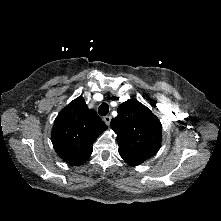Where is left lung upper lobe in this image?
I'll return each mask as SVG.
<instances>
[{
	"mask_svg": "<svg viewBox=\"0 0 221 221\" xmlns=\"http://www.w3.org/2000/svg\"><path fill=\"white\" fill-rule=\"evenodd\" d=\"M117 111L111 128L117 134L120 156L132 166L139 165L159 150L162 125L150 109L136 99L122 103Z\"/></svg>",
	"mask_w": 221,
	"mask_h": 221,
	"instance_id": "1",
	"label": "left lung upper lobe"
}]
</instances>
